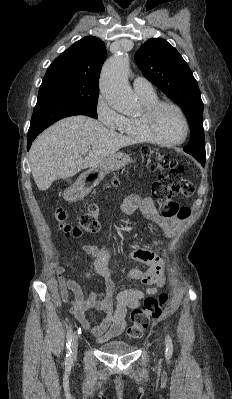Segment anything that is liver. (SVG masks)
<instances>
[{
  "instance_id": "liver-1",
  "label": "liver",
  "mask_w": 232,
  "mask_h": 399,
  "mask_svg": "<svg viewBox=\"0 0 232 399\" xmlns=\"http://www.w3.org/2000/svg\"><path fill=\"white\" fill-rule=\"evenodd\" d=\"M132 144H137L134 138L108 130L87 116L64 118L40 134L30 148L34 182L43 192L58 178H71L81 170L98 168L106 156ZM82 150H89L86 158H82Z\"/></svg>"
}]
</instances>
